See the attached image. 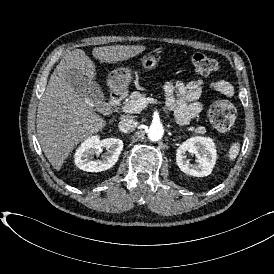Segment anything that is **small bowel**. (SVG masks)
Wrapping results in <instances>:
<instances>
[{"label":"small bowel","mask_w":274,"mask_h":274,"mask_svg":"<svg viewBox=\"0 0 274 274\" xmlns=\"http://www.w3.org/2000/svg\"><path fill=\"white\" fill-rule=\"evenodd\" d=\"M205 81L194 79L188 83L181 81H169L164 87L166 106L174 113L179 124H187L198 117L203 111V105L199 101ZM208 87L226 97L235 94L234 86L226 80H213Z\"/></svg>","instance_id":"c3829d8e"}]
</instances>
